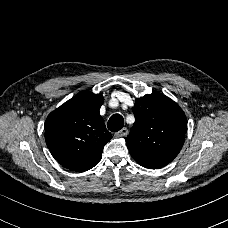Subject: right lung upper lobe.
<instances>
[{
	"label": "right lung upper lobe",
	"mask_w": 228,
	"mask_h": 228,
	"mask_svg": "<svg viewBox=\"0 0 228 228\" xmlns=\"http://www.w3.org/2000/svg\"><path fill=\"white\" fill-rule=\"evenodd\" d=\"M103 101L101 94L82 91L48 115L46 144L63 167L84 172L100 161L112 138L99 114Z\"/></svg>",
	"instance_id": "obj_1"
}]
</instances>
